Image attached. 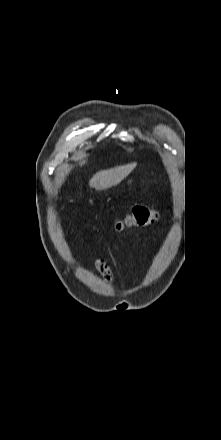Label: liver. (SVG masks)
<instances>
[{
	"label": "liver",
	"instance_id": "obj_1",
	"mask_svg": "<svg viewBox=\"0 0 221 440\" xmlns=\"http://www.w3.org/2000/svg\"><path fill=\"white\" fill-rule=\"evenodd\" d=\"M136 163H130L123 166H118L108 170H103L96 173L89 181V186L95 188L97 191L108 189L119 184L125 177H127Z\"/></svg>",
	"mask_w": 221,
	"mask_h": 440
}]
</instances>
